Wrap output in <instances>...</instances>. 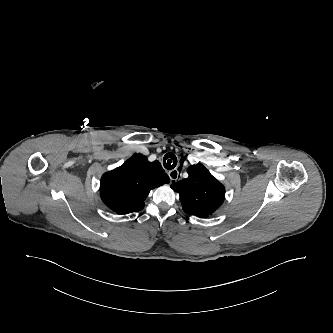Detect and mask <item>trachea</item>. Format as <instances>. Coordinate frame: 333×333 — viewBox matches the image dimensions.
Masks as SVG:
<instances>
[{
    "instance_id": "obj_1",
    "label": "trachea",
    "mask_w": 333,
    "mask_h": 333,
    "mask_svg": "<svg viewBox=\"0 0 333 333\" xmlns=\"http://www.w3.org/2000/svg\"><path fill=\"white\" fill-rule=\"evenodd\" d=\"M163 165L168 170H171V169L175 168L176 165H177L176 156L171 152L165 154V156L163 158Z\"/></svg>"
}]
</instances>
